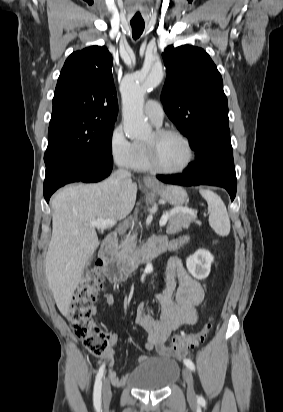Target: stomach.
<instances>
[{
  "label": "stomach",
  "mask_w": 283,
  "mask_h": 412,
  "mask_svg": "<svg viewBox=\"0 0 283 412\" xmlns=\"http://www.w3.org/2000/svg\"><path fill=\"white\" fill-rule=\"evenodd\" d=\"M151 189L173 206H181L188 201L187 192L179 186H159Z\"/></svg>",
  "instance_id": "stomach-1"
}]
</instances>
